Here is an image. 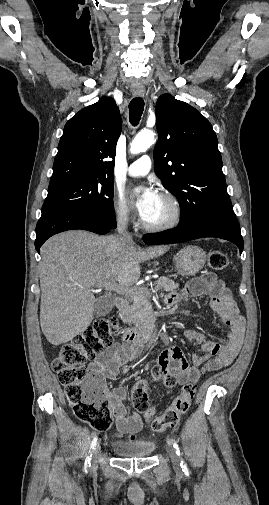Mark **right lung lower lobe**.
I'll return each instance as SVG.
<instances>
[{
	"label": "right lung lower lobe",
	"instance_id": "98d812e1",
	"mask_svg": "<svg viewBox=\"0 0 269 505\" xmlns=\"http://www.w3.org/2000/svg\"><path fill=\"white\" fill-rule=\"evenodd\" d=\"M115 228L116 225L110 226L81 212L56 209L42 213L36 227L35 248L40 253V247L49 237L63 231L83 229L103 235Z\"/></svg>",
	"mask_w": 269,
	"mask_h": 505
}]
</instances>
